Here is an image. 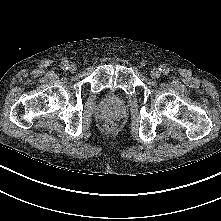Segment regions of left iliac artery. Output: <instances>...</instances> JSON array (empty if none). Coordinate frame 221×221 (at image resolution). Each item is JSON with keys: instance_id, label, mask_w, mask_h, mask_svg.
<instances>
[{"instance_id": "obj_1", "label": "left iliac artery", "mask_w": 221, "mask_h": 221, "mask_svg": "<svg viewBox=\"0 0 221 221\" xmlns=\"http://www.w3.org/2000/svg\"><path fill=\"white\" fill-rule=\"evenodd\" d=\"M160 70L162 71L163 74H168V72H169V69L165 66H161Z\"/></svg>"}]
</instances>
